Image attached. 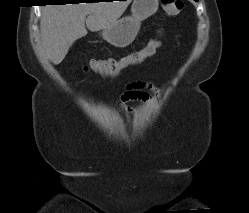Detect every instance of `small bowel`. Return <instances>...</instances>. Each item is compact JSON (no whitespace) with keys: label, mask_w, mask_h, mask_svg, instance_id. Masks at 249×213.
Segmentation results:
<instances>
[{"label":"small bowel","mask_w":249,"mask_h":213,"mask_svg":"<svg viewBox=\"0 0 249 213\" xmlns=\"http://www.w3.org/2000/svg\"><path fill=\"white\" fill-rule=\"evenodd\" d=\"M142 61H132L129 63V66L140 64ZM156 95H158V92L152 85L140 81L132 82L127 85L126 90L122 93L118 106L128 113L134 114L135 112L128 106V102L138 101L148 104L151 103L153 97Z\"/></svg>","instance_id":"obj_1"}]
</instances>
